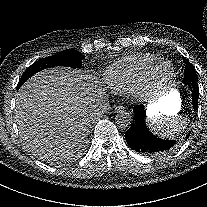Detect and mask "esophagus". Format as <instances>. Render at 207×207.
Instances as JSON below:
<instances>
[{
  "label": "esophagus",
  "instance_id": "1",
  "mask_svg": "<svg viewBox=\"0 0 207 207\" xmlns=\"http://www.w3.org/2000/svg\"><path fill=\"white\" fill-rule=\"evenodd\" d=\"M119 109H124V110H125V107H124V106H116L115 109H114L115 113H116L117 110H119Z\"/></svg>",
  "mask_w": 207,
  "mask_h": 207
}]
</instances>
